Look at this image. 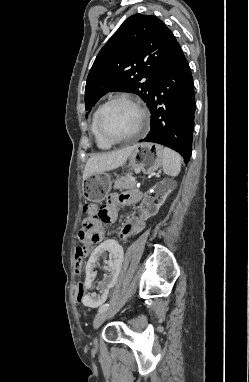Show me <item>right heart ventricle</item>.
Here are the masks:
<instances>
[{"label":"right heart ventricle","instance_id":"obj_1","mask_svg":"<svg viewBox=\"0 0 249 382\" xmlns=\"http://www.w3.org/2000/svg\"><path fill=\"white\" fill-rule=\"evenodd\" d=\"M98 109L97 108L94 112H93V115H92V119H91V125H90V130H91V133L94 137V140H95V143L96 145L98 146V148L102 149V150H108L112 147L113 144L107 142L106 140H104L101 135L99 134V131H98V128H97V113H98Z\"/></svg>","mask_w":249,"mask_h":382}]
</instances>
